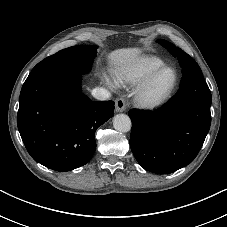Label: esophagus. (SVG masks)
<instances>
[{"label":"esophagus","mask_w":227,"mask_h":227,"mask_svg":"<svg viewBox=\"0 0 227 227\" xmlns=\"http://www.w3.org/2000/svg\"><path fill=\"white\" fill-rule=\"evenodd\" d=\"M116 112H123L126 110V103L123 99L119 98L115 101Z\"/></svg>","instance_id":"1"}]
</instances>
